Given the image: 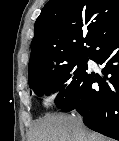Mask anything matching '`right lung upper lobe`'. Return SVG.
<instances>
[{
    "instance_id": "cb5924a9",
    "label": "right lung upper lobe",
    "mask_w": 119,
    "mask_h": 141,
    "mask_svg": "<svg viewBox=\"0 0 119 141\" xmlns=\"http://www.w3.org/2000/svg\"><path fill=\"white\" fill-rule=\"evenodd\" d=\"M118 20L119 0H50L34 25L29 75L87 57L108 24Z\"/></svg>"
}]
</instances>
